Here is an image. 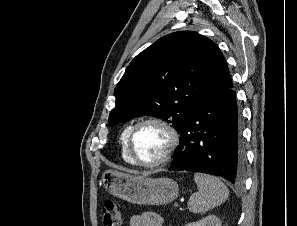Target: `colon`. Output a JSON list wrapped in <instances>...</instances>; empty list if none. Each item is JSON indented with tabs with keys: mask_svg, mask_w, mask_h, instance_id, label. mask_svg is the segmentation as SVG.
I'll return each mask as SVG.
<instances>
[{
	"mask_svg": "<svg viewBox=\"0 0 297 226\" xmlns=\"http://www.w3.org/2000/svg\"><path fill=\"white\" fill-rule=\"evenodd\" d=\"M103 226H120L121 217L112 200H107L102 206Z\"/></svg>",
	"mask_w": 297,
	"mask_h": 226,
	"instance_id": "obj_1",
	"label": "colon"
}]
</instances>
